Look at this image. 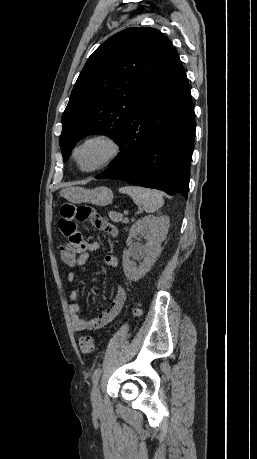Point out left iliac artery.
Returning <instances> with one entry per match:
<instances>
[{"label": "left iliac artery", "instance_id": "1", "mask_svg": "<svg viewBox=\"0 0 257 459\" xmlns=\"http://www.w3.org/2000/svg\"><path fill=\"white\" fill-rule=\"evenodd\" d=\"M101 372H102L101 368H96L95 369V371L93 373V376H92V380H93L94 383L98 382V380H99V378L101 376Z\"/></svg>", "mask_w": 257, "mask_h": 459}]
</instances>
